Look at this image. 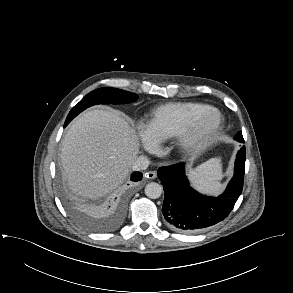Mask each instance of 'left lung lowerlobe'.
Listing matches in <instances>:
<instances>
[{"instance_id":"0a47b994","label":"left lung lower lobe","mask_w":293,"mask_h":293,"mask_svg":"<svg viewBox=\"0 0 293 293\" xmlns=\"http://www.w3.org/2000/svg\"><path fill=\"white\" fill-rule=\"evenodd\" d=\"M245 147L236 156L234 175L225 192L209 197L195 191L185 175V163L161 167L158 178L164 188L163 215L168 224L181 233H196L224 220L243 189Z\"/></svg>"}]
</instances>
